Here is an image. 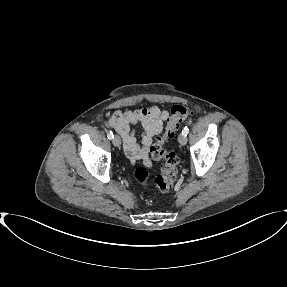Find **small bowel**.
Instances as JSON below:
<instances>
[{
    "mask_svg": "<svg viewBox=\"0 0 287 287\" xmlns=\"http://www.w3.org/2000/svg\"><path fill=\"white\" fill-rule=\"evenodd\" d=\"M169 116L167 110L156 106L142 107L136 110L115 111L108 119V125L115 129L122 137L124 149L132 163H141L149 167L151 160L149 152L155 137L163 128V123ZM140 125L143 129L141 145L136 142L133 125Z\"/></svg>",
    "mask_w": 287,
    "mask_h": 287,
    "instance_id": "obj_1",
    "label": "small bowel"
}]
</instances>
